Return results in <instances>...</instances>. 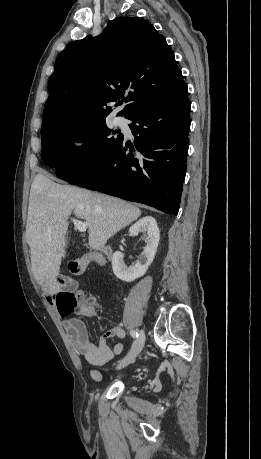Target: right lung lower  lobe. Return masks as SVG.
<instances>
[{"label": "right lung lower lobe", "instance_id": "obj_1", "mask_svg": "<svg viewBox=\"0 0 261 459\" xmlns=\"http://www.w3.org/2000/svg\"><path fill=\"white\" fill-rule=\"evenodd\" d=\"M187 94L184 83L165 100L133 113L128 119L135 149L123 138L108 159L69 183L177 215L191 123Z\"/></svg>", "mask_w": 261, "mask_h": 459}]
</instances>
